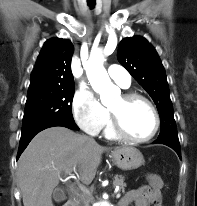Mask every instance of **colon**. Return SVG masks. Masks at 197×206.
<instances>
[{
  "label": "colon",
  "instance_id": "5ec220e1",
  "mask_svg": "<svg viewBox=\"0 0 197 206\" xmlns=\"http://www.w3.org/2000/svg\"><path fill=\"white\" fill-rule=\"evenodd\" d=\"M149 182H150V186L155 189L160 188L162 184L161 179L156 175H152L149 179Z\"/></svg>",
  "mask_w": 197,
  "mask_h": 206
}]
</instances>
